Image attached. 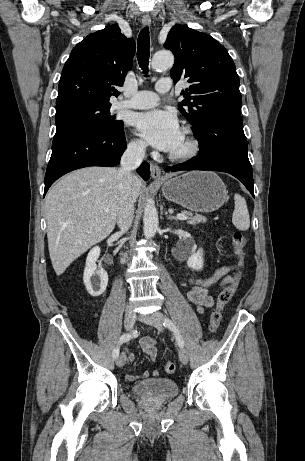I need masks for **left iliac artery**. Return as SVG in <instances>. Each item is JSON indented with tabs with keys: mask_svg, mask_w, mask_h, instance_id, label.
<instances>
[{
	"mask_svg": "<svg viewBox=\"0 0 305 461\" xmlns=\"http://www.w3.org/2000/svg\"><path fill=\"white\" fill-rule=\"evenodd\" d=\"M163 325L165 327L169 328L175 334L176 341H177L178 345L180 347H183L184 346L183 338L180 335V333H179L177 327L175 326V324L170 319L165 318Z\"/></svg>",
	"mask_w": 305,
	"mask_h": 461,
	"instance_id": "left-iliac-artery-1",
	"label": "left iliac artery"
}]
</instances>
